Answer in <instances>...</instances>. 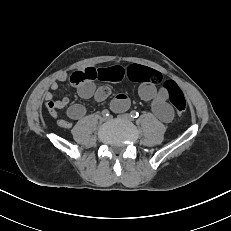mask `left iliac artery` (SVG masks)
Segmentation results:
<instances>
[{"mask_svg":"<svg viewBox=\"0 0 231 231\" xmlns=\"http://www.w3.org/2000/svg\"><path fill=\"white\" fill-rule=\"evenodd\" d=\"M130 115H131V117H133V118L139 117V113H138L137 111H134V110L130 112Z\"/></svg>","mask_w":231,"mask_h":231,"instance_id":"1","label":"left iliac artery"}]
</instances>
